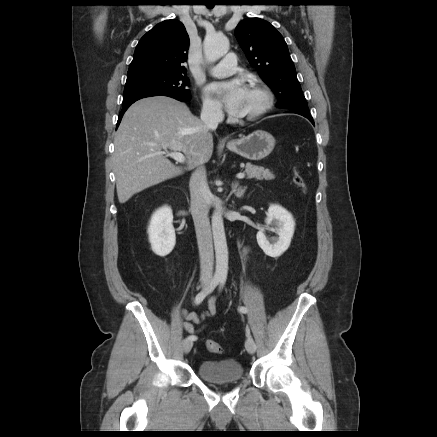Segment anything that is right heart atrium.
Returning <instances> with one entry per match:
<instances>
[{"mask_svg":"<svg viewBox=\"0 0 437 437\" xmlns=\"http://www.w3.org/2000/svg\"><path fill=\"white\" fill-rule=\"evenodd\" d=\"M202 114L207 118H219L222 114L220 104L210 96L203 95Z\"/></svg>","mask_w":437,"mask_h":437,"instance_id":"right-heart-atrium-1","label":"right heart atrium"}]
</instances>
